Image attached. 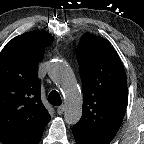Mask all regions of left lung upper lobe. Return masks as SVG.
<instances>
[{"instance_id":"left-lung-upper-lobe-1","label":"left lung upper lobe","mask_w":144,"mask_h":144,"mask_svg":"<svg viewBox=\"0 0 144 144\" xmlns=\"http://www.w3.org/2000/svg\"><path fill=\"white\" fill-rule=\"evenodd\" d=\"M83 85V112L72 132L97 144L117 134L127 106L126 74L111 44L85 33L76 51Z\"/></svg>"}]
</instances>
